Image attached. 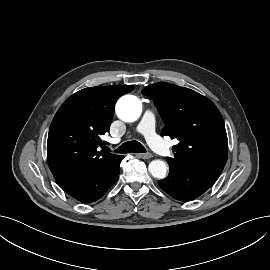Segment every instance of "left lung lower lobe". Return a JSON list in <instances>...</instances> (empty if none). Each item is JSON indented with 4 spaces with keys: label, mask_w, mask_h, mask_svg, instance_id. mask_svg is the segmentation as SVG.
<instances>
[{
    "label": "left lung lower lobe",
    "mask_w": 270,
    "mask_h": 270,
    "mask_svg": "<svg viewBox=\"0 0 270 270\" xmlns=\"http://www.w3.org/2000/svg\"><path fill=\"white\" fill-rule=\"evenodd\" d=\"M169 167L168 177L159 180L158 184L171 197L182 201L199 197L218 179V177L195 169Z\"/></svg>",
    "instance_id": "left-lung-lower-lobe-1"
}]
</instances>
